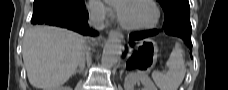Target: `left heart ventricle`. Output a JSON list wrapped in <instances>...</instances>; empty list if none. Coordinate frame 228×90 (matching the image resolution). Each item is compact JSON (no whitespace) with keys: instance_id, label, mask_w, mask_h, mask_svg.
<instances>
[{"instance_id":"obj_1","label":"left heart ventricle","mask_w":228,"mask_h":90,"mask_svg":"<svg viewBox=\"0 0 228 90\" xmlns=\"http://www.w3.org/2000/svg\"><path fill=\"white\" fill-rule=\"evenodd\" d=\"M121 13L124 20L134 26L150 25L155 20L153 6L144 0H137L121 6Z\"/></svg>"}]
</instances>
